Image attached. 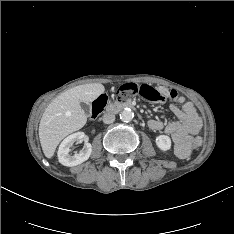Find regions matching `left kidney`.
I'll list each match as a JSON object with an SVG mask.
<instances>
[{
  "instance_id": "1",
  "label": "left kidney",
  "mask_w": 234,
  "mask_h": 234,
  "mask_svg": "<svg viewBox=\"0 0 234 234\" xmlns=\"http://www.w3.org/2000/svg\"><path fill=\"white\" fill-rule=\"evenodd\" d=\"M157 147L161 151H168L171 148V139L167 135H159L155 139Z\"/></svg>"
}]
</instances>
